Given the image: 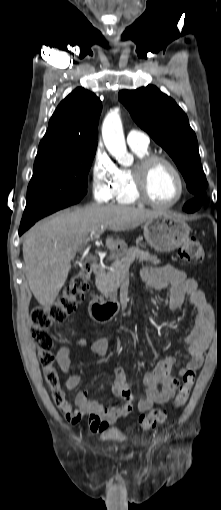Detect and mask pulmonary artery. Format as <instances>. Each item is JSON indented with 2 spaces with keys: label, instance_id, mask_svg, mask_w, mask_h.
Listing matches in <instances>:
<instances>
[{
  "label": "pulmonary artery",
  "instance_id": "1",
  "mask_svg": "<svg viewBox=\"0 0 221 510\" xmlns=\"http://www.w3.org/2000/svg\"><path fill=\"white\" fill-rule=\"evenodd\" d=\"M149 141V136L141 130L132 129L127 134V142L130 146L145 147L148 146Z\"/></svg>",
  "mask_w": 221,
  "mask_h": 510
}]
</instances>
